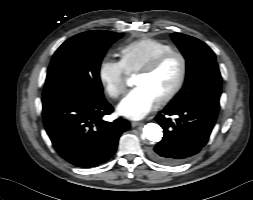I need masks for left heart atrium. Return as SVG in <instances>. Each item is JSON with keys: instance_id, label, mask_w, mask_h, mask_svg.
I'll use <instances>...</instances> for the list:
<instances>
[{"instance_id": "obj_1", "label": "left heart atrium", "mask_w": 253, "mask_h": 200, "mask_svg": "<svg viewBox=\"0 0 253 200\" xmlns=\"http://www.w3.org/2000/svg\"><path fill=\"white\" fill-rule=\"evenodd\" d=\"M157 104L156 98L143 87L133 89L117 106L120 115L139 120L151 112Z\"/></svg>"}]
</instances>
